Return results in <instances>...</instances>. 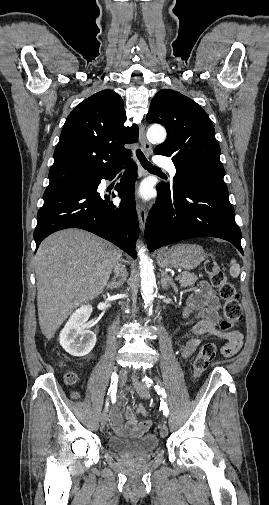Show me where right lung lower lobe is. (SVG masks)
<instances>
[{
  "label": "right lung lower lobe",
  "instance_id": "98d812e1",
  "mask_svg": "<svg viewBox=\"0 0 269 505\" xmlns=\"http://www.w3.org/2000/svg\"><path fill=\"white\" fill-rule=\"evenodd\" d=\"M127 165L116 186L122 198L117 206L110 201L115 194H99L97 187L102 179L114 178L121 164L79 184L46 189L34 231L36 250L48 235L66 228H80L109 240L135 259L138 219L134 181L137 166L132 160L127 161Z\"/></svg>",
  "mask_w": 269,
  "mask_h": 505
}]
</instances>
